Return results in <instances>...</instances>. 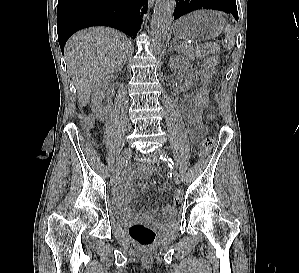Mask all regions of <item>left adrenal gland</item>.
I'll use <instances>...</instances> for the list:
<instances>
[{
  "label": "left adrenal gland",
  "instance_id": "1",
  "mask_svg": "<svg viewBox=\"0 0 299 273\" xmlns=\"http://www.w3.org/2000/svg\"><path fill=\"white\" fill-rule=\"evenodd\" d=\"M172 50H177V47H176L174 41H173V43H172L171 46H170V51H172Z\"/></svg>",
  "mask_w": 299,
  "mask_h": 273
}]
</instances>
